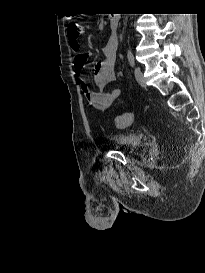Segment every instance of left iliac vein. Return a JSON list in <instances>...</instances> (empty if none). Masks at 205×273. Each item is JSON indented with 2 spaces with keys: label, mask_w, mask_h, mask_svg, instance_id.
<instances>
[{
  "label": "left iliac vein",
  "mask_w": 205,
  "mask_h": 273,
  "mask_svg": "<svg viewBox=\"0 0 205 273\" xmlns=\"http://www.w3.org/2000/svg\"><path fill=\"white\" fill-rule=\"evenodd\" d=\"M135 78L137 80V82L142 86V87H145L146 85V81H145V78L143 76V73L141 71L140 68H135Z\"/></svg>",
  "instance_id": "left-iliac-vein-1"
}]
</instances>
